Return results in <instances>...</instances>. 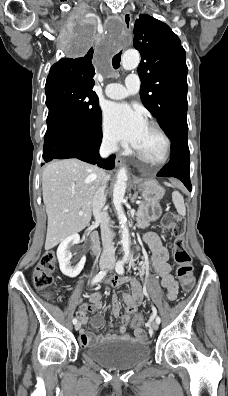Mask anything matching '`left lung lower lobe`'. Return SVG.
I'll return each instance as SVG.
<instances>
[{
    "label": "left lung lower lobe",
    "mask_w": 228,
    "mask_h": 396,
    "mask_svg": "<svg viewBox=\"0 0 228 396\" xmlns=\"http://www.w3.org/2000/svg\"><path fill=\"white\" fill-rule=\"evenodd\" d=\"M187 109L173 113L162 127L170 137L171 159L157 174L160 177H175L191 191L190 183V152L188 148Z\"/></svg>",
    "instance_id": "obj_1"
}]
</instances>
